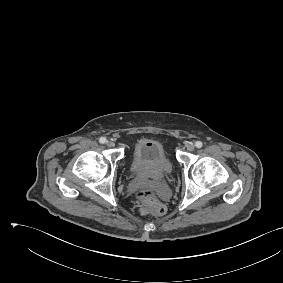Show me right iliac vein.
<instances>
[{"instance_id": "right-iliac-vein-1", "label": "right iliac vein", "mask_w": 283, "mask_h": 283, "mask_svg": "<svg viewBox=\"0 0 283 283\" xmlns=\"http://www.w3.org/2000/svg\"><path fill=\"white\" fill-rule=\"evenodd\" d=\"M106 145H107L108 147H114V146H115V143H114L112 140H109V141L106 142Z\"/></svg>"}]
</instances>
